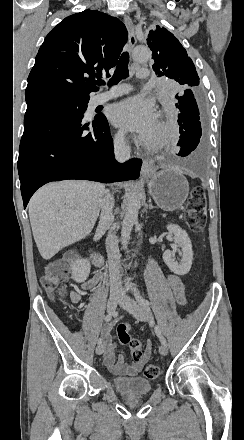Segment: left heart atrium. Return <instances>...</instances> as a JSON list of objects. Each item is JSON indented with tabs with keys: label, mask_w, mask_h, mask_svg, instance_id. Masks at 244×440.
I'll list each match as a JSON object with an SVG mask.
<instances>
[{
	"label": "left heart atrium",
	"mask_w": 244,
	"mask_h": 440,
	"mask_svg": "<svg viewBox=\"0 0 244 440\" xmlns=\"http://www.w3.org/2000/svg\"><path fill=\"white\" fill-rule=\"evenodd\" d=\"M157 111L153 101L143 97H131L116 104L112 111L114 124L130 131L152 134L154 137L157 128Z\"/></svg>",
	"instance_id": "39dd6f15"
}]
</instances>
